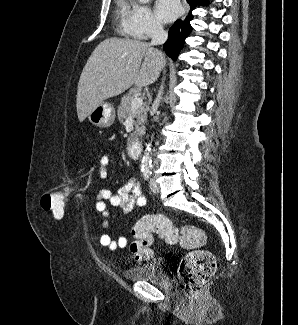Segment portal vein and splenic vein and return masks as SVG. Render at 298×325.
Returning <instances> with one entry per match:
<instances>
[{
	"label": "portal vein and splenic vein",
	"mask_w": 298,
	"mask_h": 325,
	"mask_svg": "<svg viewBox=\"0 0 298 325\" xmlns=\"http://www.w3.org/2000/svg\"><path fill=\"white\" fill-rule=\"evenodd\" d=\"M142 104H143L142 96H134V98H132L131 100V106H130L131 112H135V110H137L139 106H142Z\"/></svg>",
	"instance_id": "portal-vein-and-splenic-vein-1"
}]
</instances>
